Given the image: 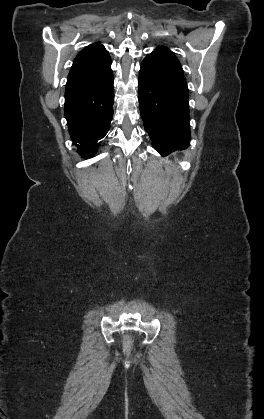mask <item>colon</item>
Here are the masks:
<instances>
[{
  "mask_svg": "<svg viewBox=\"0 0 264 419\" xmlns=\"http://www.w3.org/2000/svg\"><path fill=\"white\" fill-rule=\"evenodd\" d=\"M123 345H124V348H125L126 351H130L132 343H131V339L128 335H126L124 337Z\"/></svg>",
  "mask_w": 264,
  "mask_h": 419,
  "instance_id": "1",
  "label": "colon"
}]
</instances>
